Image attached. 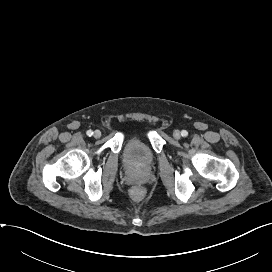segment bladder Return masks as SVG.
I'll return each instance as SVG.
<instances>
[{"label": "bladder", "instance_id": "bladder-1", "mask_svg": "<svg viewBox=\"0 0 272 272\" xmlns=\"http://www.w3.org/2000/svg\"><path fill=\"white\" fill-rule=\"evenodd\" d=\"M123 157L126 166L134 169L148 168L154 159L151 149L138 139H133L128 142Z\"/></svg>", "mask_w": 272, "mask_h": 272}]
</instances>
